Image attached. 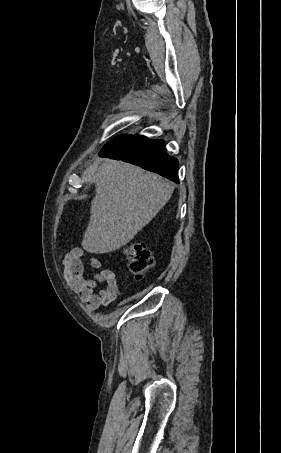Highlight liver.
<instances>
[{"label": "liver", "instance_id": "6515ba94", "mask_svg": "<svg viewBox=\"0 0 281 453\" xmlns=\"http://www.w3.org/2000/svg\"><path fill=\"white\" fill-rule=\"evenodd\" d=\"M95 182L90 220L81 243L84 251L95 255L130 243L174 190L169 180L155 172L109 158L99 164Z\"/></svg>", "mask_w": 281, "mask_h": 453}]
</instances>
